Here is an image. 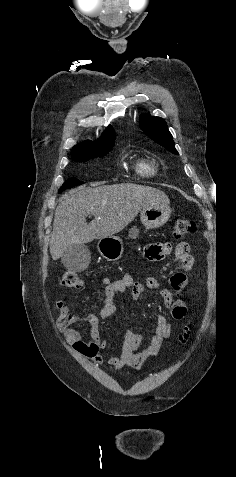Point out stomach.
Segmentation results:
<instances>
[{"instance_id":"obj_1","label":"stomach","mask_w":236,"mask_h":477,"mask_svg":"<svg viewBox=\"0 0 236 477\" xmlns=\"http://www.w3.org/2000/svg\"><path fill=\"white\" fill-rule=\"evenodd\" d=\"M170 215L171 209L168 204H151L141 210L140 220L147 229H154L163 226ZM139 233V229L134 226L129 230V237L136 239ZM98 251L106 260L116 261L123 255V242L117 236L102 238L98 242Z\"/></svg>"}]
</instances>
